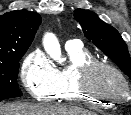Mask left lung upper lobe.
<instances>
[{
	"label": "left lung upper lobe",
	"mask_w": 131,
	"mask_h": 115,
	"mask_svg": "<svg viewBox=\"0 0 131 115\" xmlns=\"http://www.w3.org/2000/svg\"><path fill=\"white\" fill-rule=\"evenodd\" d=\"M74 16L85 36L109 56L131 79L130 55L127 45L118 31L99 19L94 12L79 8L75 11Z\"/></svg>",
	"instance_id": "obj_1"
}]
</instances>
